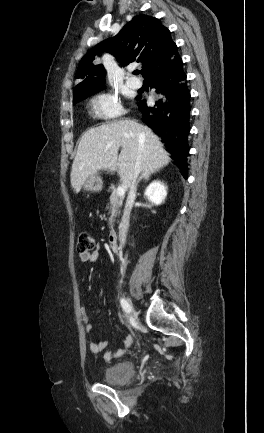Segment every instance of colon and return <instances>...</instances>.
<instances>
[{
    "label": "colon",
    "mask_w": 264,
    "mask_h": 433,
    "mask_svg": "<svg viewBox=\"0 0 264 433\" xmlns=\"http://www.w3.org/2000/svg\"><path fill=\"white\" fill-rule=\"evenodd\" d=\"M96 247L95 238L88 231H82L78 235L76 250L79 254H86Z\"/></svg>",
    "instance_id": "obj_1"
}]
</instances>
